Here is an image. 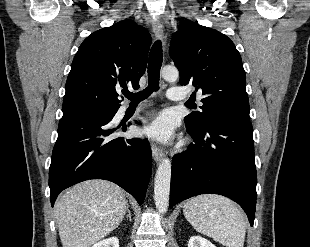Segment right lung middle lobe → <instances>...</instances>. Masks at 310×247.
<instances>
[{"label": "right lung middle lobe", "instance_id": "dd1d6c3e", "mask_svg": "<svg viewBox=\"0 0 310 247\" xmlns=\"http://www.w3.org/2000/svg\"><path fill=\"white\" fill-rule=\"evenodd\" d=\"M117 110H103V109H95V108H81L75 109L68 112H63V116L68 115H79V114H90V113H100V112H116Z\"/></svg>", "mask_w": 310, "mask_h": 247}]
</instances>
